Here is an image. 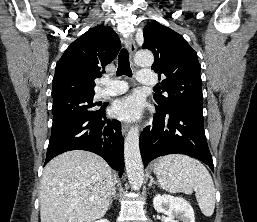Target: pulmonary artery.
Instances as JSON below:
<instances>
[{"label":"pulmonary artery","mask_w":257,"mask_h":222,"mask_svg":"<svg viewBox=\"0 0 257 222\" xmlns=\"http://www.w3.org/2000/svg\"><path fill=\"white\" fill-rule=\"evenodd\" d=\"M137 80L141 84L152 85L155 82V74L154 72L140 71L137 75ZM102 84L104 87L98 92V96L100 97L118 95L128 90V85L124 81L103 80Z\"/></svg>","instance_id":"pulmonary-artery-1"}]
</instances>
